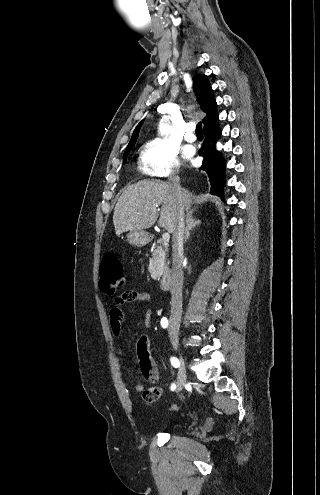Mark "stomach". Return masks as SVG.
Wrapping results in <instances>:
<instances>
[{
  "instance_id": "stomach-1",
  "label": "stomach",
  "mask_w": 320,
  "mask_h": 495,
  "mask_svg": "<svg viewBox=\"0 0 320 495\" xmlns=\"http://www.w3.org/2000/svg\"><path fill=\"white\" fill-rule=\"evenodd\" d=\"M127 241L135 247H142L149 242V235L144 230H130L127 234Z\"/></svg>"
}]
</instances>
